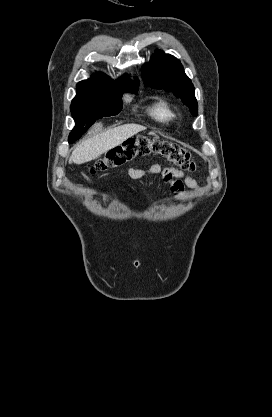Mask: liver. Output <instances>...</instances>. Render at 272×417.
Masks as SVG:
<instances>
[{
  "label": "liver",
  "instance_id": "1",
  "mask_svg": "<svg viewBox=\"0 0 272 417\" xmlns=\"http://www.w3.org/2000/svg\"><path fill=\"white\" fill-rule=\"evenodd\" d=\"M145 129L142 125L125 124L97 134L75 148L70 157V162L80 165L92 161Z\"/></svg>",
  "mask_w": 272,
  "mask_h": 417
}]
</instances>
